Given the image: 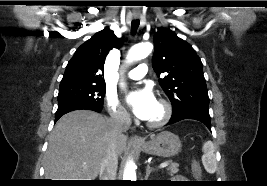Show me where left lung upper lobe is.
<instances>
[{"instance_id":"obj_1","label":"left lung upper lobe","mask_w":267,"mask_h":186,"mask_svg":"<svg viewBox=\"0 0 267 186\" xmlns=\"http://www.w3.org/2000/svg\"><path fill=\"white\" fill-rule=\"evenodd\" d=\"M152 66L159 83L170 98L173 114L196 109L208 112L209 97L203 65L195 50L170 29L154 35Z\"/></svg>"}]
</instances>
